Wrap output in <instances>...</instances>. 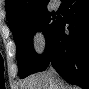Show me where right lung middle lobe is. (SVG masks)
I'll return each mask as SVG.
<instances>
[{"mask_svg":"<svg viewBox=\"0 0 89 89\" xmlns=\"http://www.w3.org/2000/svg\"><path fill=\"white\" fill-rule=\"evenodd\" d=\"M55 15L48 10L25 17L16 22L11 28L16 43V58L21 78H25L36 69L42 60V56L35 53L33 49V34L40 30L47 39V44L57 27L59 20H54Z\"/></svg>","mask_w":89,"mask_h":89,"instance_id":"right-lung-middle-lobe-1","label":"right lung middle lobe"}]
</instances>
